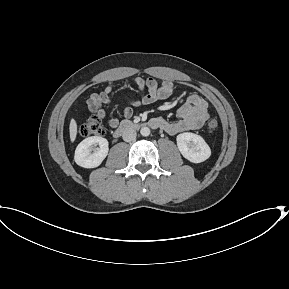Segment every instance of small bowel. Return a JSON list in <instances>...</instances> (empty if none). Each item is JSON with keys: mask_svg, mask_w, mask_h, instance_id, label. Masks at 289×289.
I'll list each match as a JSON object with an SVG mask.
<instances>
[{"mask_svg": "<svg viewBox=\"0 0 289 289\" xmlns=\"http://www.w3.org/2000/svg\"><path fill=\"white\" fill-rule=\"evenodd\" d=\"M133 84L139 91L147 90V93L140 99L126 98L127 106L123 110L125 118H131L134 114V108L140 106H148L157 101L166 100L173 91V83L171 81H163L159 83L154 78L143 79L137 77L133 80ZM113 87L107 86L103 91L93 93L87 100V106L91 113L100 119L106 117L104 107L111 105V95ZM209 117L208 102L199 94H191L187 101L178 110V119L175 121H167L163 118H155L159 123V128L170 135H176L186 131L198 130ZM108 125L111 128L118 126V119L109 118Z\"/></svg>", "mask_w": 289, "mask_h": 289, "instance_id": "c3829d8e", "label": "small bowel"}]
</instances>
